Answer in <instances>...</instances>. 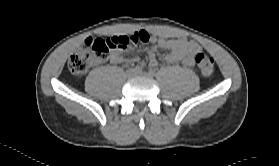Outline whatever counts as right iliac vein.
Returning a JSON list of instances; mask_svg holds the SVG:
<instances>
[{
    "label": "right iliac vein",
    "mask_w": 279,
    "mask_h": 166,
    "mask_svg": "<svg viewBox=\"0 0 279 166\" xmlns=\"http://www.w3.org/2000/svg\"><path fill=\"white\" fill-rule=\"evenodd\" d=\"M136 73H137V72H136L134 69H130V70L127 71V76H128V77H131V76L136 75Z\"/></svg>",
    "instance_id": "right-iliac-vein-1"
}]
</instances>
